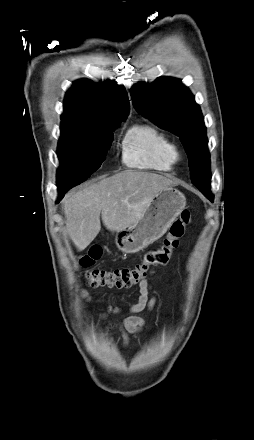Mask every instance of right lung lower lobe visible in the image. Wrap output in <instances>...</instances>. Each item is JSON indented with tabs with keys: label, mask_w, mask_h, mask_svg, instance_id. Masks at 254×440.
I'll list each match as a JSON object with an SVG mask.
<instances>
[{
	"label": "right lung lower lobe",
	"mask_w": 254,
	"mask_h": 440,
	"mask_svg": "<svg viewBox=\"0 0 254 440\" xmlns=\"http://www.w3.org/2000/svg\"><path fill=\"white\" fill-rule=\"evenodd\" d=\"M69 190V188H58V191H59V196H58V199H57V202L56 203H58L62 198H63V196H64V194L67 192Z\"/></svg>",
	"instance_id": "1"
}]
</instances>
